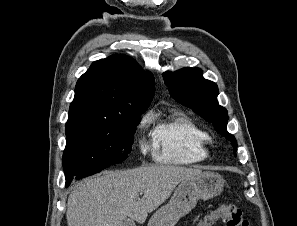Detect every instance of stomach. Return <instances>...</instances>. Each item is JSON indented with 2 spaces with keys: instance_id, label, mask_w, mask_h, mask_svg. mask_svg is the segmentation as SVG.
Here are the masks:
<instances>
[{
  "instance_id": "1",
  "label": "stomach",
  "mask_w": 297,
  "mask_h": 226,
  "mask_svg": "<svg viewBox=\"0 0 297 226\" xmlns=\"http://www.w3.org/2000/svg\"><path fill=\"white\" fill-rule=\"evenodd\" d=\"M223 185V178L209 171L196 179L180 182L169 203L154 213L148 226H174L195 207L199 199L207 200L219 195Z\"/></svg>"
}]
</instances>
